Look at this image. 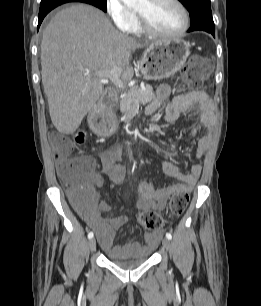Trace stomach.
<instances>
[{"instance_id": "0dacf381", "label": "stomach", "mask_w": 261, "mask_h": 306, "mask_svg": "<svg viewBox=\"0 0 261 306\" xmlns=\"http://www.w3.org/2000/svg\"><path fill=\"white\" fill-rule=\"evenodd\" d=\"M190 54V45L183 39L171 38L152 43L143 53L139 67L147 80L168 78L179 71ZM90 128L101 136H108L116 128L112 117H106L97 111L89 114Z\"/></svg>"}]
</instances>
